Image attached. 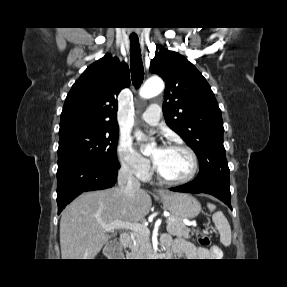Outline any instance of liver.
I'll list each match as a JSON object with an SVG mask.
<instances>
[{
	"instance_id": "6515ba94",
	"label": "liver",
	"mask_w": 287,
	"mask_h": 287,
	"mask_svg": "<svg viewBox=\"0 0 287 287\" xmlns=\"http://www.w3.org/2000/svg\"><path fill=\"white\" fill-rule=\"evenodd\" d=\"M151 206L150 195L142 189L132 199L120 187L80 195L62 212V259H94L110 239L103 225L115 220L138 223L148 215Z\"/></svg>"
}]
</instances>
